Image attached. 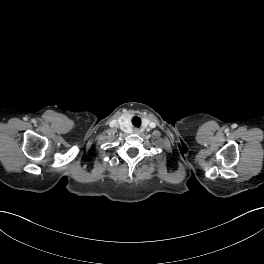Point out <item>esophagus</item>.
<instances>
[{
	"mask_svg": "<svg viewBox=\"0 0 264 264\" xmlns=\"http://www.w3.org/2000/svg\"><path fill=\"white\" fill-rule=\"evenodd\" d=\"M134 133L138 134L139 133V129H134Z\"/></svg>",
	"mask_w": 264,
	"mask_h": 264,
	"instance_id": "esophagus-1",
	"label": "esophagus"
}]
</instances>
